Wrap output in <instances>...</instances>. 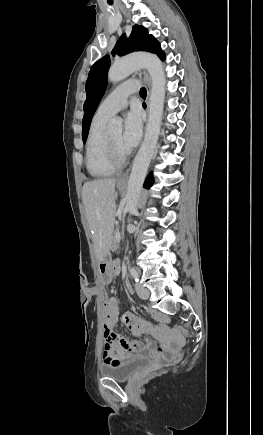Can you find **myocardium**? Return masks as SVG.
I'll list each match as a JSON object with an SVG mask.
<instances>
[{
  "label": "myocardium",
  "instance_id": "1",
  "mask_svg": "<svg viewBox=\"0 0 263 435\" xmlns=\"http://www.w3.org/2000/svg\"><path fill=\"white\" fill-rule=\"evenodd\" d=\"M105 148H106V155L109 160V162L115 167V168H121L123 167L127 162V153L126 152H120L110 141L109 137L106 136L105 138Z\"/></svg>",
  "mask_w": 263,
  "mask_h": 435
}]
</instances>
